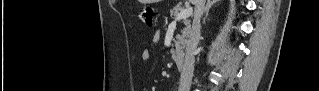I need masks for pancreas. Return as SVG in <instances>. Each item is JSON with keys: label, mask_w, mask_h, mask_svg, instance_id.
<instances>
[{"label": "pancreas", "mask_w": 319, "mask_h": 91, "mask_svg": "<svg viewBox=\"0 0 319 91\" xmlns=\"http://www.w3.org/2000/svg\"><path fill=\"white\" fill-rule=\"evenodd\" d=\"M182 10V7L180 5H176L175 7H173V9L170 11V16L175 20L177 18V15L179 14V12ZM185 24V28L182 30V35L181 36H177L173 42L175 45V49L171 50L172 53V57L176 58V56L178 57H182L184 55V48L185 45L187 43V39L189 37V33H190V21L188 19H185L184 21Z\"/></svg>", "instance_id": "cf45deb5"}]
</instances>
